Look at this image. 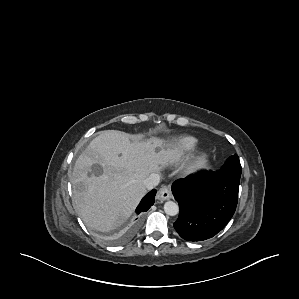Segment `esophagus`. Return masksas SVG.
I'll return each mask as SVG.
<instances>
[{
    "mask_svg": "<svg viewBox=\"0 0 299 299\" xmlns=\"http://www.w3.org/2000/svg\"><path fill=\"white\" fill-rule=\"evenodd\" d=\"M171 197H172V193L169 186H162L156 195V199L161 202L168 200Z\"/></svg>",
    "mask_w": 299,
    "mask_h": 299,
    "instance_id": "34e87169",
    "label": "esophagus"
}]
</instances>
